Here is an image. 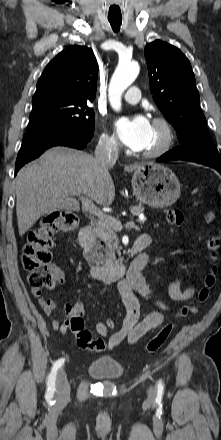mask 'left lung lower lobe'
Listing matches in <instances>:
<instances>
[{"instance_id":"1","label":"left lung lower lobe","mask_w":221,"mask_h":440,"mask_svg":"<svg viewBox=\"0 0 221 440\" xmlns=\"http://www.w3.org/2000/svg\"><path fill=\"white\" fill-rule=\"evenodd\" d=\"M170 160H183L180 156L173 154L171 151L165 153L161 157L157 159L158 162H164V161H170ZM210 166V165H207ZM212 168H215L220 174H221V166L220 165H214L210 166Z\"/></svg>"}]
</instances>
